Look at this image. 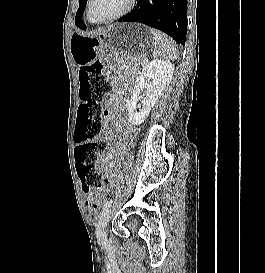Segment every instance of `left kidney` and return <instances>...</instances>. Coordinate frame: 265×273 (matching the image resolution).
I'll use <instances>...</instances> for the list:
<instances>
[{
    "mask_svg": "<svg viewBox=\"0 0 265 273\" xmlns=\"http://www.w3.org/2000/svg\"><path fill=\"white\" fill-rule=\"evenodd\" d=\"M173 72L174 65L163 60H154L142 69L128 102V115L132 124L139 125L144 122L171 80ZM143 90L145 91L142 94ZM139 101L141 104H137Z\"/></svg>",
    "mask_w": 265,
    "mask_h": 273,
    "instance_id": "5707ae66",
    "label": "left kidney"
}]
</instances>
